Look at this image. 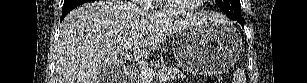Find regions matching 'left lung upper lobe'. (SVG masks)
Returning a JSON list of instances; mask_svg holds the SVG:
<instances>
[{"label":"left lung upper lobe","mask_w":307,"mask_h":83,"mask_svg":"<svg viewBox=\"0 0 307 83\" xmlns=\"http://www.w3.org/2000/svg\"><path fill=\"white\" fill-rule=\"evenodd\" d=\"M218 7L226 14L227 17L236 20H244L241 17L240 0H215Z\"/></svg>","instance_id":"left-lung-upper-lobe-1"}]
</instances>
